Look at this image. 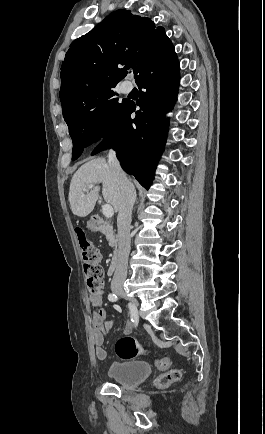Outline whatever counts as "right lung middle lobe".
<instances>
[{
    "label": "right lung middle lobe",
    "mask_w": 265,
    "mask_h": 434,
    "mask_svg": "<svg viewBox=\"0 0 265 434\" xmlns=\"http://www.w3.org/2000/svg\"><path fill=\"white\" fill-rule=\"evenodd\" d=\"M116 84L111 82L61 101L73 141L72 160L77 159L85 147L110 134L124 119L131 101L115 98Z\"/></svg>",
    "instance_id": "right-lung-middle-lobe-1"
}]
</instances>
